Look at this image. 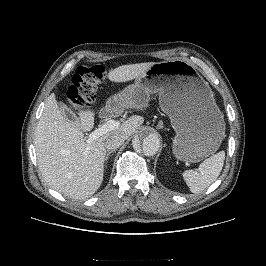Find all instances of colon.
<instances>
[{
	"label": "colon",
	"instance_id": "5ec220e1",
	"mask_svg": "<svg viewBox=\"0 0 266 266\" xmlns=\"http://www.w3.org/2000/svg\"><path fill=\"white\" fill-rule=\"evenodd\" d=\"M104 75L105 69L102 65H79L66 91L68 101L78 109H88Z\"/></svg>",
	"mask_w": 266,
	"mask_h": 266
}]
</instances>
